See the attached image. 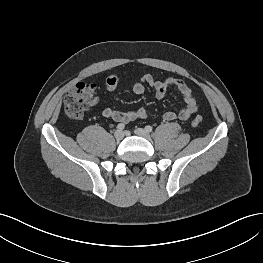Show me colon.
<instances>
[{
  "label": "colon",
  "mask_w": 263,
  "mask_h": 263,
  "mask_svg": "<svg viewBox=\"0 0 263 263\" xmlns=\"http://www.w3.org/2000/svg\"><path fill=\"white\" fill-rule=\"evenodd\" d=\"M95 93V85L81 82L72 87L65 95L64 106L67 116L73 120L81 119L92 104ZM193 125L198 126L201 118L193 120Z\"/></svg>",
  "instance_id": "1"
}]
</instances>
